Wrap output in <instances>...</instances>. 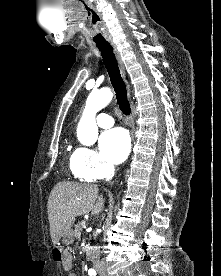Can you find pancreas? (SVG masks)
Returning a JSON list of instances; mask_svg holds the SVG:
<instances>
[{
  "mask_svg": "<svg viewBox=\"0 0 221 276\" xmlns=\"http://www.w3.org/2000/svg\"><path fill=\"white\" fill-rule=\"evenodd\" d=\"M83 228H85L84 221L79 222L75 225V237L79 240L81 239V232Z\"/></svg>",
  "mask_w": 221,
  "mask_h": 276,
  "instance_id": "1",
  "label": "pancreas"
}]
</instances>
